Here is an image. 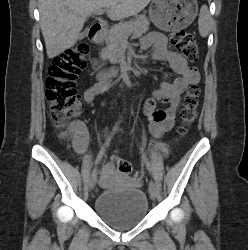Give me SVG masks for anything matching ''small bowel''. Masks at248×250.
<instances>
[{
  "label": "small bowel",
  "mask_w": 248,
  "mask_h": 250,
  "mask_svg": "<svg viewBox=\"0 0 248 250\" xmlns=\"http://www.w3.org/2000/svg\"><path fill=\"white\" fill-rule=\"evenodd\" d=\"M141 50L152 49V57L157 61L169 63L171 69L179 76L172 81H163L160 87L154 92L152 98L143 104V112L149 121V129L155 138H160L164 133L171 130L175 123L176 113L181 101V94L191 84H197L200 80L198 70L190 66L186 59L178 52L172 51L168 47L166 36L159 32H150L146 34L140 43ZM109 87V83L97 81L89 87L84 93V101L92 103L94 98L104 92ZM70 130L72 133V144L78 154H84L89 135L85 124L82 121H74ZM156 149L163 157L168 156L169 150L166 144L155 142ZM89 160V157H86ZM94 162H100V157ZM115 172L112 164H105L102 167V183L106 184L110 176ZM137 176H134V180Z\"/></svg>",
  "instance_id": "small-bowel-1"
}]
</instances>
